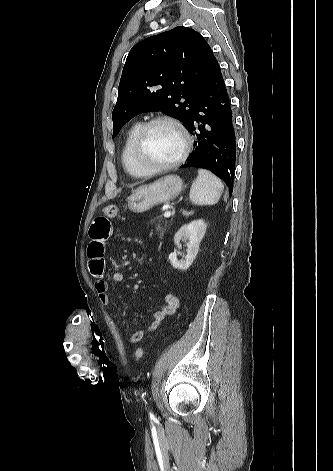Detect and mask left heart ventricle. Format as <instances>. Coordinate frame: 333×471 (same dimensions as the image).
Here are the masks:
<instances>
[{"mask_svg":"<svg viewBox=\"0 0 333 471\" xmlns=\"http://www.w3.org/2000/svg\"><path fill=\"white\" fill-rule=\"evenodd\" d=\"M182 149L177 130L169 124L154 125L147 136L144 158L151 164H166L175 160Z\"/></svg>","mask_w":333,"mask_h":471,"instance_id":"b2bd125f","label":"left heart ventricle"}]
</instances>
